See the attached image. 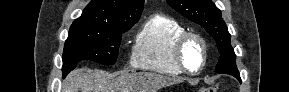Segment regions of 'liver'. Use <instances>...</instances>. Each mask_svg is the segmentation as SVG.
I'll return each mask as SVG.
<instances>
[{"label": "liver", "instance_id": "obj_1", "mask_svg": "<svg viewBox=\"0 0 289 92\" xmlns=\"http://www.w3.org/2000/svg\"><path fill=\"white\" fill-rule=\"evenodd\" d=\"M180 79L156 73H125L120 76L86 68L72 71L63 82V92H157Z\"/></svg>", "mask_w": 289, "mask_h": 92}]
</instances>
